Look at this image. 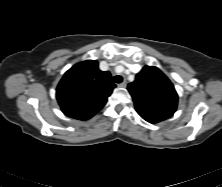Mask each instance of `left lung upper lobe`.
<instances>
[{
    "label": "left lung upper lobe",
    "mask_w": 222,
    "mask_h": 187,
    "mask_svg": "<svg viewBox=\"0 0 222 187\" xmlns=\"http://www.w3.org/2000/svg\"><path fill=\"white\" fill-rule=\"evenodd\" d=\"M136 111L171 117L178 103V95L170 80L154 66H145L134 82L128 85Z\"/></svg>",
    "instance_id": "5c2ea615"
}]
</instances>
